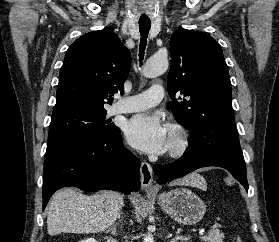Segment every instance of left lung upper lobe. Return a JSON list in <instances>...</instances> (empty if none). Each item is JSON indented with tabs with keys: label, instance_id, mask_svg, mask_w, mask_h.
<instances>
[{
	"label": "left lung upper lobe",
	"instance_id": "left-lung-upper-lobe-1",
	"mask_svg": "<svg viewBox=\"0 0 279 242\" xmlns=\"http://www.w3.org/2000/svg\"><path fill=\"white\" fill-rule=\"evenodd\" d=\"M170 55L167 88L174 100L170 109L192 135L184 155H224L244 161L221 46L205 33L181 29L170 39ZM179 93L183 100L175 102Z\"/></svg>",
	"mask_w": 279,
	"mask_h": 242
}]
</instances>
